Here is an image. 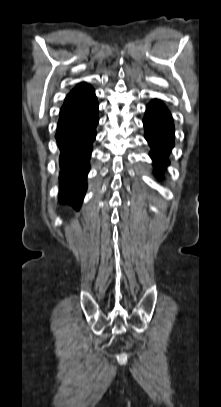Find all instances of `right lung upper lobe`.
I'll use <instances>...</instances> for the list:
<instances>
[{
	"instance_id": "1",
	"label": "right lung upper lobe",
	"mask_w": 221,
	"mask_h": 407,
	"mask_svg": "<svg viewBox=\"0 0 221 407\" xmlns=\"http://www.w3.org/2000/svg\"><path fill=\"white\" fill-rule=\"evenodd\" d=\"M87 86L88 85H86L85 83H81L76 88H74L72 91H75V90H78V89H81V88H84V87H87Z\"/></svg>"
}]
</instances>
